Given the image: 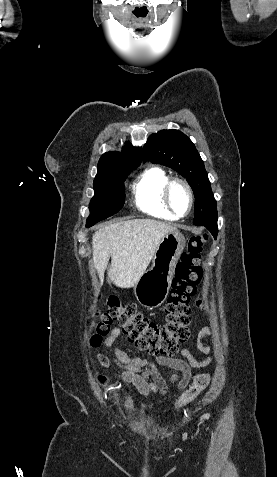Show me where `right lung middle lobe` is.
<instances>
[{"instance_id": "dd1d6c3e", "label": "right lung middle lobe", "mask_w": 277, "mask_h": 477, "mask_svg": "<svg viewBox=\"0 0 277 477\" xmlns=\"http://www.w3.org/2000/svg\"><path fill=\"white\" fill-rule=\"evenodd\" d=\"M134 169L113 168L97 173L93 188L94 197L91 199L86 227L117 213L124 204V180Z\"/></svg>"}]
</instances>
